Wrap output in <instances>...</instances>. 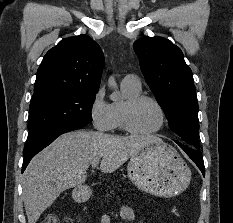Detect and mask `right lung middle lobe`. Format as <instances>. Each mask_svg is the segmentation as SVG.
<instances>
[{
	"instance_id": "1",
	"label": "right lung middle lobe",
	"mask_w": 233,
	"mask_h": 223,
	"mask_svg": "<svg viewBox=\"0 0 233 223\" xmlns=\"http://www.w3.org/2000/svg\"><path fill=\"white\" fill-rule=\"evenodd\" d=\"M97 92L50 91L33 95L24 155L41 146L63 127L73 124L86 126L90 123Z\"/></svg>"
}]
</instances>
